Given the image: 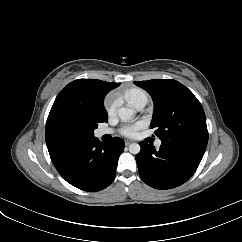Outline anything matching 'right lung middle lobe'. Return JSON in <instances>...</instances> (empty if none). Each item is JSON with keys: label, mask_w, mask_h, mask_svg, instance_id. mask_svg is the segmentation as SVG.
Here are the masks:
<instances>
[{"label": "right lung middle lobe", "mask_w": 242, "mask_h": 242, "mask_svg": "<svg viewBox=\"0 0 242 242\" xmlns=\"http://www.w3.org/2000/svg\"><path fill=\"white\" fill-rule=\"evenodd\" d=\"M95 128H97V124H94V125L92 126V132H91V135H92V136H94V129H95Z\"/></svg>", "instance_id": "1"}]
</instances>
